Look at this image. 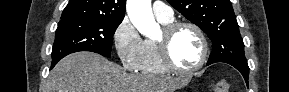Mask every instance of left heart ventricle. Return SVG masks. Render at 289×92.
Listing matches in <instances>:
<instances>
[{"mask_svg":"<svg viewBox=\"0 0 289 92\" xmlns=\"http://www.w3.org/2000/svg\"><path fill=\"white\" fill-rule=\"evenodd\" d=\"M162 33L159 35L160 38ZM202 45L197 34L190 28L178 30L170 44V53L174 63L181 68L195 66L201 57Z\"/></svg>","mask_w":289,"mask_h":92,"instance_id":"left-heart-ventricle-1","label":"left heart ventricle"}]
</instances>
